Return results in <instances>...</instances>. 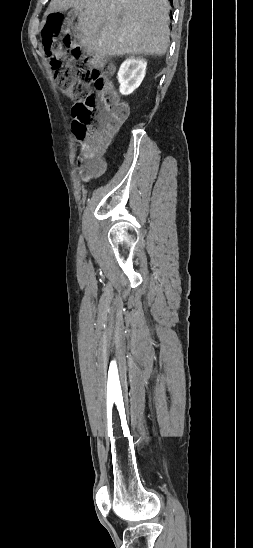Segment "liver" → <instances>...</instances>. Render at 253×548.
I'll return each mask as SVG.
<instances>
[{
	"label": "liver",
	"mask_w": 253,
	"mask_h": 548,
	"mask_svg": "<svg viewBox=\"0 0 253 548\" xmlns=\"http://www.w3.org/2000/svg\"><path fill=\"white\" fill-rule=\"evenodd\" d=\"M70 7L81 45L97 57L164 55L168 49V0H51L47 14Z\"/></svg>",
	"instance_id": "obj_1"
}]
</instances>
